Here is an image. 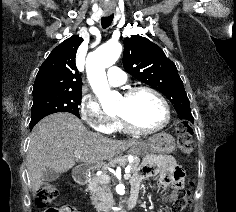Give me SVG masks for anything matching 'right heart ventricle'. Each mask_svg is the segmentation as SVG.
I'll return each instance as SVG.
<instances>
[{
	"label": "right heart ventricle",
	"mask_w": 236,
	"mask_h": 212,
	"mask_svg": "<svg viewBox=\"0 0 236 212\" xmlns=\"http://www.w3.org/2000/svg\"><path fill=\"white\" fill-rule=\"evenodd\" d=\"M112 132L126 133L127 131L122 127L118 119L114 118L112 121L111 127L109 129V133H112Z\"/></svg>",
	"instance_id": "1"
}]
</instances>
